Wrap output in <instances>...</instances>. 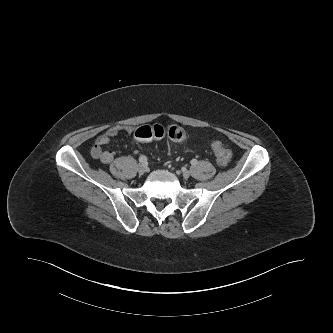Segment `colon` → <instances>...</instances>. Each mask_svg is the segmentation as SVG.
I'll return each instance as SVG.
<instances>
[{
    "label": "colon",
    "mask_w": 333,
    "mask_h": 333,
    "mask_svg": "<svg viewBox=\"0 0 333 333\" xmlns=\"http://www.w3.org/2000/svg\"><path fill=\"white\" fill-rule=\"evenodd\" d=\"M134 136L140 141H149L153 139H161L168 136L175 141H181L185 138L184 131L178 126H170L165 128L160 124L144 125L136 129ZM213 153L218 163L226 164L231 159V151L221 142H214L212 145Z\"/></svg>",
    "instance_id": "colon-1"
}]
</instances>
